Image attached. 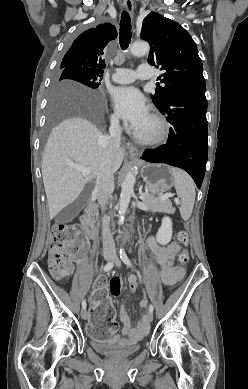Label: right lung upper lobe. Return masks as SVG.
<instances>
[{"mask_svg": "<svg viewBox=\"0 0 248 389\" xmlns=\"http://www.w3.org/2000/svg\"><path fill=\"white\" fill-rule=\"evenodd\" d=\"M116 36V28L110 23L100 24L83 32L73 42L61 65L84 68L103 75L104 49Z\"/></svg>", "mask_w": 248, "mask_h": 389, "instance_id": "right-lung-upper-lobe-1", "label": "right lung upper lobe"}]
</instances>
